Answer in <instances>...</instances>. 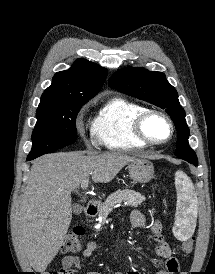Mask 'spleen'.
<instances>
[{
  "label": "spleen",
  "mask_w": 215,
  "mask_h": 274,
  "mask_svg": "<svg viewBox=\"0 0 215 274\" xmlns=\"http://www.w3.org/2000/svg\"><path fill=\"white\" fill-rule=\"evenodd\" d=\"M175 187L177 211L174 235L180 240H187L191 236V227L195 223L197 198L191 179L183 171L179 170L175 173Z\"/></svg>",
  "instance_id": "spleen-1"
}]
</instances>
